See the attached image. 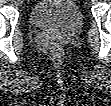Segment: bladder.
<instances>
[{"label":"bladder","instance_id":"31cf9c89","mask_svg":"<svg viewBox=\"0 0 111 106\" xmlns=\"http://www.w3.org/2000/svg\"><path fill=\"white\" fill-rule=\"evenodd\" d=\"M30 23L42 30L74 33L83 25V14L72 0H40L31 8Z\"/></svg>","mask_w":111,"mask_h":106}]
</instances>
